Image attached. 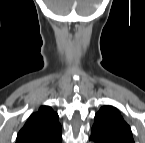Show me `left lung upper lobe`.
<instances>
[{"label": "left lung upper lobe", "mask_w": 145, "mask_h": 143, "mask_svg": "<svg viewBox=\"0 0 145 143\" xmlns=\"http://www.w3.org/2000/svg\"><path fill=\"white\" fill-rule=\"evenodd\" d=\"M92 137L98 143H134L129 125L113 106H103L95 115Z\"/></svg>", "instance_id": "1"}]
</instances>
